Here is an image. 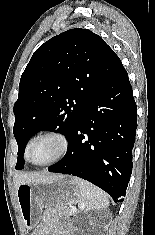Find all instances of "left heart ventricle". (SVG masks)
<instances>
[{
    "label": "left heart ventricle",
    "instance_id": "b2bd125f",
    "mask_svg": "<svg viewBox=\"0 0 155 235\" xmlns=\"http://www.w3.org/2000/svg\"><path fill=\"white\" fill-rule=\"evenodd\" d=\"M60 150V141L54 137H47L34 143L29 157L34 163H44L56 157Z\"/></svg>",
    "mask_w": 155,
    "mask_h": 235
}]
</instances>
